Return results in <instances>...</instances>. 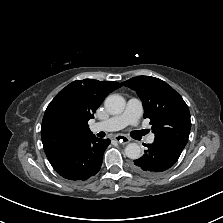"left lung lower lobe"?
Masks as SVG:
<instances>
[{
    "instance_id": "obj_1",
    "label": "left lung lower lobe",
    "mask_w": 223,
    "mask_h": 223,
    "mask_svg": "<svg viewBox=\"0 0 223 223\" xmlns=\"http://www.w3.org/2000/svg\"><path fill=\"white\" fill-rule=\"evenodd\" d=\"M145 146L144 155L134 160L132 169L146 177L158 175L172 167L184 149L180 144L168 140H154Z\"/></svg>"
}]
</instances>
